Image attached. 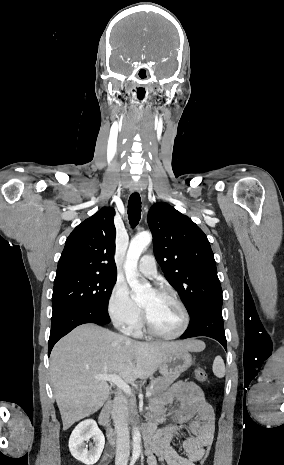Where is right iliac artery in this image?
<instances>
[{"mask_svg":"<svg viewBox=\"0 0 284 465\" xmlns=\"http://www.w3.org/2000/svg\"><path fill=\"white\" fill-rule=\"evenodd\" d=\"M134 463H135L134 460H132L131 463H130V465H134Z\"/></svg>","mask_w":284,"mask_h":465,"instance_id":"obj_1","label":"right iliac artery"}]
</instances>
